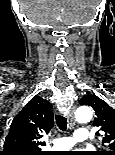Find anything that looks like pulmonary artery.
I'll return each instance as SVG.
<instances>
[{"label": "pulmonary artery", "mask_w": 115, "mask_h": 155, "mask_svg": "<svg viewBox=\"0 0 115 155\" xmlns=\"http://www.w3.org/2000/svg\"><path fill=\"white\" fill-rule=\"evenodd\" d=\"M89 141V130L81 127L75 130L73 136L63 137L55 140V150L63 151L68 150L75 146L77 142L86 143Z\"/></svg>", "instance_id": "1"}]
</instances>
